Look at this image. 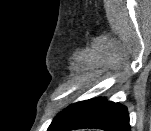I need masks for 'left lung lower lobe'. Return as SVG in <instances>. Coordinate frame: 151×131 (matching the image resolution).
<instances>
[{"label":"left lung lower lobe","mask_w":151,"mask_h":131,"mask_svg":"<svg viewBox=\"0 0 151 131\" xmlns=\"http://www.w3.org/2000/svg\"><path fill=\"white\" fill-rule=\"evenodd\" d=\"M98 128L106 131H131L125 106L96 98L77 102L62 110L47 131Z\"/></svg>","instance_id":"0a47b994"}]
</instances>
